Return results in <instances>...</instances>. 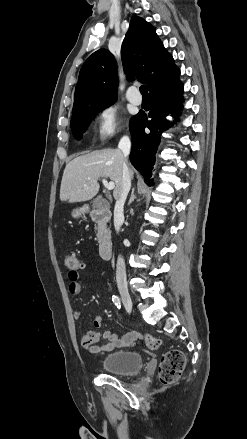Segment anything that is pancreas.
<instances>
[{"mask_svg":"<svg viewBox=\"0 0 247 439\" xmlns=\"http://www.w3.org/2000/svg\"><path fill=\"white\" fill-rule=\"evenodd\" d=\"M100 234H101V233L98 231L97 236H100Z\"/></svg>","mask_w":247,"mask_h":439,"instance_id":"pancreas-1","label":"pancreas"}]
</instances>
